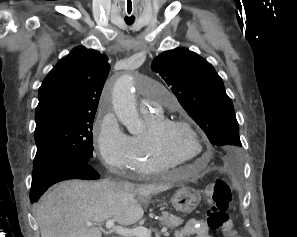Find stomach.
I'll use <instances>...</instances> for the list:
<instances>
[{
  "mask_svg": "<svg viewBox=\"0 0 297 237\" xmlns=\"http://www.w3.org/2000/svg\"><path fill=\"white\" fill-rule=\"evenodd\" d=\"M200 200L201 195L198 191L189 187H182L172 196L171 203L176 211L189 214L196 209Z\"/></svg>",
  "mask_w": 297,
  "mask_h": 237,
  "instance_id": "0dacf381",
  "label": "stomach"
}]
</instances>
